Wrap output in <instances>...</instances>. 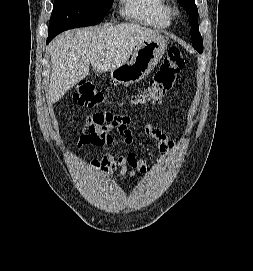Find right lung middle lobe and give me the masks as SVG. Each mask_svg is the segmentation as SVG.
<instances>
[{
	"label": "right lung middle lobe",
	"mask_w": 253,
	"mask_h": 271,
	"mask_svg": "<svg viewBox=\"0 0 253 271\" xmlns=\"http://www.w3.org/2000/svg\"><path fill=\"white\" fill-rule=\"evenodd\" d=\"M111 7V0H54L49 36L64 30L96 25Z\"/></svg>",
	"instance_id": "dd1d6c3e"
}]
</instances>
